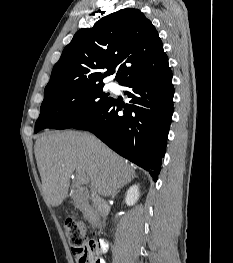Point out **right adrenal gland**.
Segmentation results:
<instances>
[{
	"label": "right adrenal gland",
	"mask_w": 233,
	"mask_h": 263,
	"mask_svg": "<svg viewBox=\"0 0 233 263\" xmlns=\"http://www.w3.org/2000/svg\"><path fill=\"white\" fill-rule=\"evenodd\" d=\"M136 177V176H135ZM122 188V187H121ZM120 188V189H121ZM120 189H118L113 195H112V197H115V195L120 191Z\"/></svg>",
	"instance_id": "2a0ac1e0"
}]
</instances>
